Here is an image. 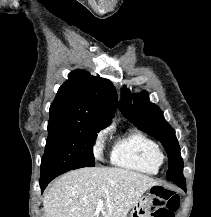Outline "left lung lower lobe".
<instances>
[{"instance_id": "obj_1", "label": "left lung lower lobe", "mask_w": 211, "mask_h": 217, "mask_svg": "<svg viewBox=\"0 0 211 217\" xmlns=\"http://www.w3.org/2000/svg\"><path fill=\"white\" fill-rule=\"evenodd\" d=\"M177 185L186 192V184H177Z\"/></svg>"}]
</instances>
